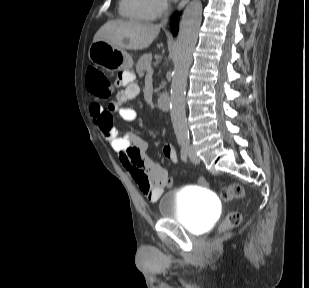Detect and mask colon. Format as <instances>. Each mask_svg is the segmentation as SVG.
I'll return each mask as SVG.
<instances>
[{
	"label": "colon",
	"mask_w": 309,
	"mask_h": 288,
	"mask_svg": "<svg viewBox=\"0 0 309 288\" xmlns=\"http://www.w3.org/2000/svg\"><path fill=\"white\" fill-rule=\"evenodd\" d=\"M86 86L88 91L100 98H105L110 96L113 91V87L107 76L100 70L90 67L86 75ZM169 185H173L175 181L169 179L167 181ZM199 183L202 186L207 185V180L205 177L199 178ZM221 197L224 201H231L233 199H242L245 197V189L239 183H233L225 186L221 191ZM241 215L238 212L230 213L225 221L226 227H233L240 223Z\"/></svg>",
	"instance_id": "1"
}]
</instances>
